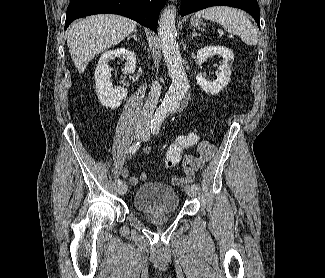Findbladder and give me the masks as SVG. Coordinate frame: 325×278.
<instances>
[{
  "instance_id": "obj_1",
  "label": "bladder",
  "mask_w": 325,
  "mask_h": 278,
  "mask_svg": "<svg viewBox=\"0 0 325 278\" xmlns=\"http://www.w3.org/2000/svg\"><path fill=\"white\" fill-rule=\"evenodd\" d=\"M133 206L146 214L173 213L179 209L177 191L168 184L149 182L137 187Z\"/></svg>"
}]
</instances>
